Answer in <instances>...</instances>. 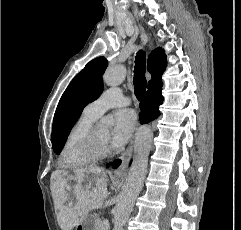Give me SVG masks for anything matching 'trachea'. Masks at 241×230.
<instances>
[{
    "label": "trachea",
    "mask_w": 241,
    "mask_h": 230,
    "mask_svg": "<svg viewBox=\"0 0 241 230\" xmlns=\"http://www.w3.org/2000/svg\"><path fill=\"white\" fill-rule=\"evenodd\" d=\"M145 67H146V54L144 51L137 53L134 69V91L137 99L142 101L144 98L147 80L145 78Z\"/></svg>",
    "instance_id": "trachea-1"
}]
</instances>
